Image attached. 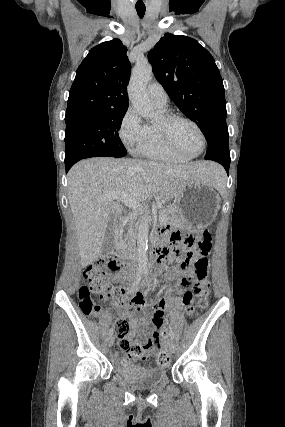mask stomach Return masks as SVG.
<instances>
[{"mask_svg": "<svg viewBox=\"0 0 285 427\" xmlns=\"http://www.w3.org/2000/svg\"><path fill=\"white\" fill-rule=\"evenodd\" d=\"M176 198L178 219L188 230L211 224L220 207V198L215 187L202 181L181 184Z\"/></svg>", "mask_w": 285, "mask_h": 427, "instance_id": "1", "label": "stomach"}]
</instances>
